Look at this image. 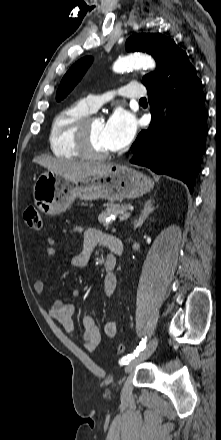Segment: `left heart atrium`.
<instances>
[{"mask_svg":"<svg viewBox=\"0 0 221 440\" xmlns=\"http://www.w3.org/2000/svg\"><path fill=\"white\" fill-rule=\"evenodd\" d=\"M137 121L129 111L118 108L104 126L103 136L109 150H119L127 146L134 138Z\"/></svg>","mask_w":221,"mask_h":440,"instance_id":"39dd6f15","label":"left heart atrium"}]
</instances>
